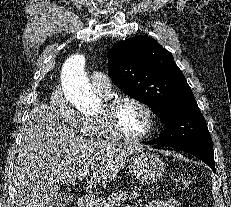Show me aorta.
<instances>
[{"label":"aorta","mask_w":231,"mask_h":207,"mask_svg":"<svg viewBox=\"0 0 231 207\" xmlns=\"http://www.w3.org/2000/svg\"><path fill=\"white\" fill-rule=\"evenodd\" d=\"M85 57L82 54L70 56L61 72V84L66 100L78 110L96 109L100 100L91 90L85 74Z\"/></svg>","instance_id":"aorta-1"}]
</instances>
